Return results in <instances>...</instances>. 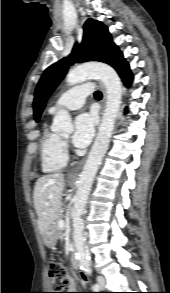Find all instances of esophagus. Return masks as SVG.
I'll return each mask as SVG.
<instances>
[{"mask_svg": "<svg viewBox=\"0 0 170 293\" xmlns=\"http://www.w3.org/2000/svg\"><path fill=\"white\" fill-rule=\"evenodd\" d=\"M99 87L101 88L102 94H103V98H102V110L105 107V103H106V91L104 86L99 83ZM84 164V159H82L77 165H75L70 171H69V176H77L80 172V170L82 169V166Z\"/></svg>", "mask_w": 170, "mask_h": 293, "instance_id": "1", "label": "esophagus"}]
</instances>
